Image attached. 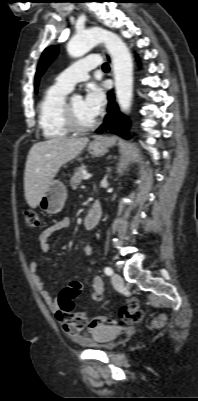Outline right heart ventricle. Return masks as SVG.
<instances>
[{
    "instance_id": "1",
    "label": "right heart ventricle",
    "mask_w": 198,
    "mask_h": 401,
    "mask_svg": "<svg viewBox=\"0 0 198 401\" xmlns=\"http://www.w3.org/2000/svg\"><path fill=\"white\" fill-rule=\"evenodd\" d=\"M69 90L56 83L49 86L38 105V123L47 139L65 138L70 134L63 120V107Z\"/></svg>"
}]
</instances>
